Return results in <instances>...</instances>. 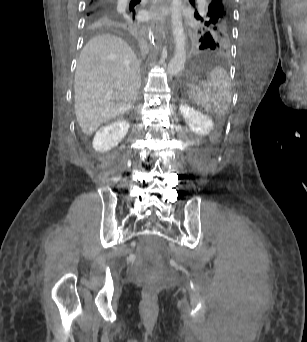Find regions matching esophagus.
Instances as JSON below:
<instances>
[{
	"instance_id": "1",
	"label": "esophagus",
	"mask_w": 307,
	"mask_h": 342,
	"mask_svg": "<svg viewBox=\"0 0 307 342\" xmlns=\"http://www.w3.org/2000/svg\"><path fill=\"white\" fill-rule=\"evenodd\" d=\"M163 2H164V0H153V6H152L154 13L158 14V18H154L151 22L152 27H154L156 30L155 37L157 39L156 44L158 46H160L162 44V40H161L162 23H161L160 15L163 14L162 8H161V4Z\"/></svg>"
}]
</instances>
